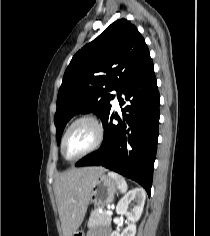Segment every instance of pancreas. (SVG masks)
<instances>
[{
  "label": "pancreas",
  "instance_id": "pancreas-1",
  "mask_svg": "<svg viewBox=\"0 0 210 236\" xmlns=\"http://www.w3.org/2000/svg\"><path fill=\"white\" fill-rule=\"evenodd\" d=\"M106 212L107 211L104 210L100 213L98 208L94 209L89 217L88 227H94L97 225L109 226L111 224V215H108Z\"/></svg>",
  "mask_w": 210,
  "mask_h": 236
}]
</instances>
